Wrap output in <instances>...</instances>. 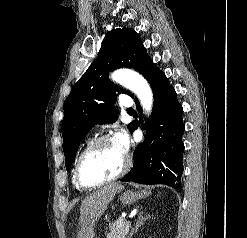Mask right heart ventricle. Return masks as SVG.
<instances>
[{
  "label": "right heart ventricle",
  "instance_id": "1",
  "mask_svg": "<svg viewBox=\"0 0 247 238\" xmlns=\"http://www.w3.org/2000/svg\"><path fill=\"white\" fill-rule=\"evenodd\" d=\"M72 180H73L74 185H75L78 189H82L80 186H78V184H77L76 181H75L74 172H73Z\"/></svg>",
  "mask_w": 247,
  "mask_h": 238
}]
</instances>
